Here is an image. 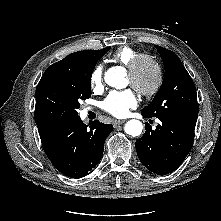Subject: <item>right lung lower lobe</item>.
Listing matches in <instances>:
<instances>
[{"mask_svg": "<svg viewBox=\"0 0 221 221\" xmlns=\"http://www.w3.org/2000/svg\"><path fill=\"white\" fill-rule=\"evenodd\" d=\"M111 124L98 120L89 128L75 119L38 127L42 147L53 166L71 178H82L100 161Z\"/></svg>", "mask_w": 221, "mask_h": 221, "instance_id": "right-lung-lower-lobe-1", "label": "right lung lower lobe"}]
</instances>
